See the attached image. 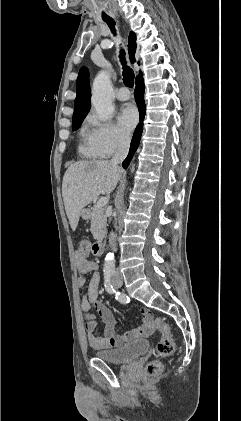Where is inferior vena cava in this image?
<instances>
[{
  "instance_id": "602c4592",
  "label": "inferior vena cava",
  "mask_w": 241,
  "mask_h": 421,
  "mask_svg": "<svg viewBox=\"0 0 241 421\" xmlns=\"http://www.w3.org/2000/svg\"><path fill=\"white\" fill-rule=\"evenodd\" d=\"M130 141L131 138L129 135H121L119 137L117 150L110 161L112 165L117 166L123 162L129 152ZM109 245L113 251H116V236L113 232L109 235ZM115 275L120 276V272L116 271Z\"/></svg>"
}]
</instances>
